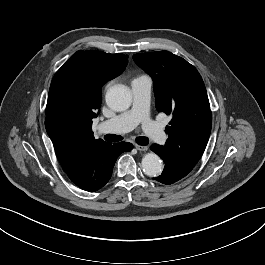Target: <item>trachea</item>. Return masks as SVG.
<instances>
[{
	"label": "trachea",
	"mask_w": 265,
	"mask_h": 265,
	"mask_svg": "<svg viewBox=\"0 0 265 265\" xmlns=\"http://www.w3.org/2000/svg\"><path fill=\"white\" fill-rule=\"evenodd\" d=\"M104 139L108 142H118L121 141L123 137L115 134H107L104 136ZM136 142L141 146H145L149 143V140L147 137L139 136L136 138Z\"/></svg>",
	"instance_id": "obj_1"
}]
</instances>
